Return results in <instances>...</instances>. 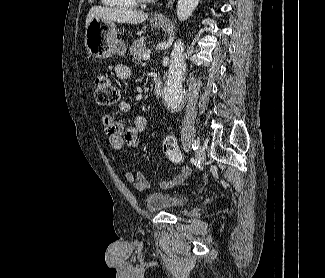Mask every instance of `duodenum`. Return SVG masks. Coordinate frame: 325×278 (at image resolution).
Listing matches in <instances>:
<instances>
[{"label": "duodenum", "instance_id": "obj_1", "mask_svg": "<svg viewBox=\"0 0 325 278\" xmlns=\"http://www.w3.org/2000/svg\"><path fill=\"white\" fill-rule=\"evenodd\" d=\"M153 87L155 95L159 98L161 97L162 90H163V83L161 78L158 75H154L153 77Z\"/></svg>", "mask_w": 325, "mask_h": 278}]
</instances>
